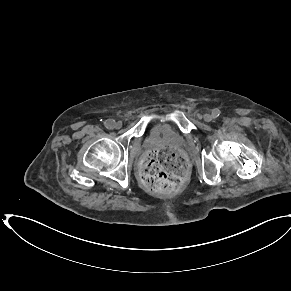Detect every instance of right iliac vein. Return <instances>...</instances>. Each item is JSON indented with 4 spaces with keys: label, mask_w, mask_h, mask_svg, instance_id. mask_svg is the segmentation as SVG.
Returning a JSON list of instances; mask_svg holds the SVG:
<instances>
[{
    "label": "right iliac vein",
    "mask_w": 291,
    "mask_h": 291,
    "mask_svg": "<svg viewBox=\"0 0 291 291\" xmlns=\"http://www.w3.org/2000/svg\"><path fill=\"white\" fill-rule=\"evenodd\" d=\"M114 127H115L116 129H120V128L122 127V122H121V121L115 122V123H114Z\"/></svg>",
    "instance_id": "1"
}]
</instances>
